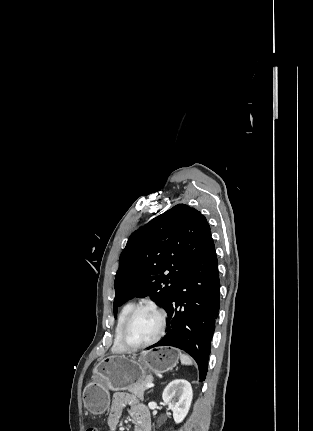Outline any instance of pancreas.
<instances>
[{
	"label": "pancreas",
	"instance_id": "cf45deb5",
	"mask_svg": "<svg viewBox=\"0 0 313 431\" xmlns=\"http://www.w3.org/2000/svg\"><path fill=\"white\" fill-rule=\"evenodd\" d=\"M150 380L151 377L149 376L146 380H143L140 383L128 386L127 390L133 393L138 398L142 399L144 397V391L147 389V387H145V384L148 383Z\"/></svg>",
	"mask_w": 313,
	"mask_h": 431
}]
</instances>
